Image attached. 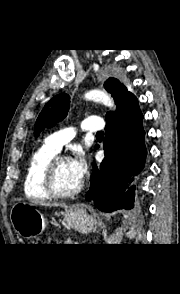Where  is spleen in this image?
<instances>
[{"label": "spleen", "instance_id": "obj_1", "mask_svg": "<svg viewBox=\"0 0 180 294\" xmlns=\"http://www.w3.org/2000/svg\"><path fill=\"white\" fill-rule=\"evenodd\" d=\"M127 236L130 237V238H132V237H134V233L133 232H128L127 233Z\"/></svg>", "mask_w": 180, "mask_h": 294}]
</instances>
